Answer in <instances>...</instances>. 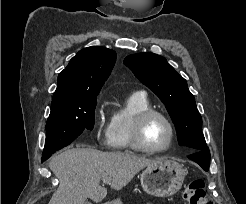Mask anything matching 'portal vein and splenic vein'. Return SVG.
I'll return each instance as SVG.
<instances>
[{
	"label": "portal vein and splenic vein",
	"mask_w": 246,
	"mask_h": 204,
	"mask_svg": "<svg viewBox=\"0 0 246 204\" xmlns=\"http://www.w3.org/2000/svg\"><path fill=\"white\" fill-rule=\"evenodd\" d=\"M104 184H110L111 180L108 178H105L102 180Z\"/></svg>",
	"instance_id": "18ae733b"
}]
</instances>
